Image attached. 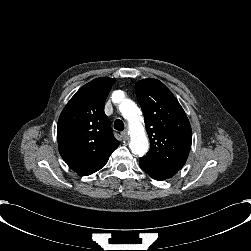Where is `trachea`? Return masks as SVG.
Here are the masks:
<instances>
[{"mask_svg": "<svg viewBox=\"0 0 251 251\" xmlns=\"http://www.w3.org/2000/svg\"><path fill=\"white\" fill-rule=\"evenodd\" d=\"M114 128L118 131H123L124 130V123L122 120H116L114 122Z\"/></svg>", "mask_w": 251, "mask_h": 251, "instance_id": "obj_1", "label": "trachea"}]
</instances>
